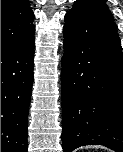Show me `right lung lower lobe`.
<instances>
[{
	"mask_svg": "<svg viewBox=\"0 0 123 152\" xmlns=\"http://www.w3.org/2000/svg\"><path fill=\"white\" fill-rule=\"evenodd\" d=\"M34 33L1 46V152H27Z\"/></svg>",
	"mask_w": 123,
	"mask_h": 152,
	"instance_id": "right-lung-lower-lobe-1",
	"label": "right lung lower lobe"
}]
</instances>
